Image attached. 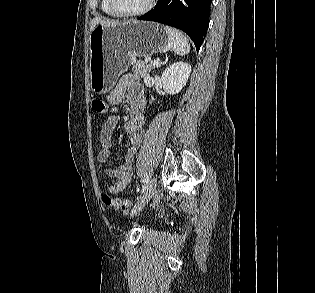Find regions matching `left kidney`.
I'll use <instances>...</instances> for the list:
<instances>
[{"label": "left kidney", "instance_id": "5707ae66", "mask_svg": "<svg viewBox=\"0 0 315 293\" xmlns=\"http://www.w3.org/2000/svg\"><path fill=\"white\" fill-rule=\"evenodd\" d=\"M191 66L185 62H176L170 65L161 76L163 89L166 93L174 95L179 93L186 85Z\"/></svg>", "mask_w": 315, "mask_h": 293}]
</instances>
